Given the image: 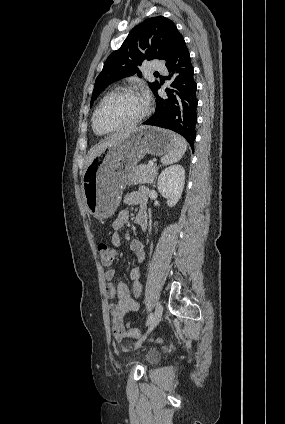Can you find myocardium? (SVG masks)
Here are the masks:
<instances>
[{
  "mask_svg": "<svg viewBox=\"0 0 285 424\" xmlns=\"http://www.w3.org/2000/svg\"><path fill=\"white\" fill-rule=\"evenodd\" d=\"M130 94H136L139 96H142L145 100V109L142 112L141 115H139L136 119L123 124L121 126L118 127H114V128H109V129H101L98 127L97 125V116L99 111L101 110V108L111 99L117 97V96H122V95H130ZM150 112V102L147 99V97L142 94L137 88H124V89H120L114 92H111L110 94H108L105 98H103L101 100V102L98 104V106L96 107L93 116H92V127L94 129L95 132H97L98 134L104 135V134H109V133H115V132H120V131H124L127 130L129 128H132L138 124H140L149 114Z\"/></svg>",
  "mask_w": 285,
  "mask_h": 424,
  "instance_id": "1",
  "label": "myocardium"
}]
</instances>
